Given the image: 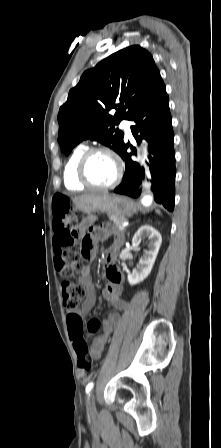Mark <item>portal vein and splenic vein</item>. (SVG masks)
I'll use <instances>...</instances> for the list:
<instances>
[{
	"mask_svg": "<svg viewBox=\"0 0 221 448\" xmlns=\"http://www.w3.org/2000/svg\"><path fill=\"white\" fill-rule=\"evenodd\" d=\"M128 225V223L127 222H124V223H122L121 224V226H120V230H123L126 226Z\"/></svg>",
	"mask_w": 221,
	"mask_h": 448,
	"instance_id": "1",
	"label": "portal vein and splenic vein"
}]
</instances>
